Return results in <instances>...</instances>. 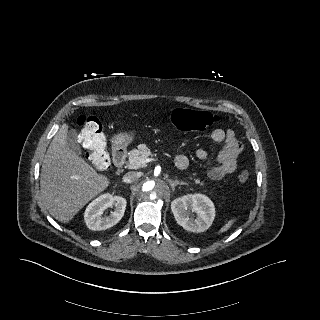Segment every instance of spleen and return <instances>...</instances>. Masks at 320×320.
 Returning <instances> with one entry per match:
<instances>
[{"mask_svg":"<svg viewBox=\"0 0 320 320\" xmlns=\"http://www.w3.org/2000/svg\"><path fill=\"white\" fill-rule=\"evenodd\" d=\"M235 222V218L230 219L224 226L220 228V230L217 232L218 234L224 233L233 225Z\"/></svg>","mask_w":320,"mask_h":320,"instance_id":"1","label":"spleen"}]
</instances>
